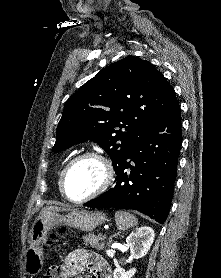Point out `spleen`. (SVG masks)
<instances>
[{
	"label": "spleen",
	"instance_id": "obj_1",
	"mask_svg": "<svg viewBox=\"0 0 221 278\" xmlns=\"http://www.w3.org/2000/svg\"><path fill=\"white\" fill-rule=\"evenodd\" d=\"M115 221L118 229L123 231L136 226L138 223V219L134 215L125 211H116Z\"/></svg>",
	"mask_w": 221,
	"mask_h": 278
}]
</instances>
